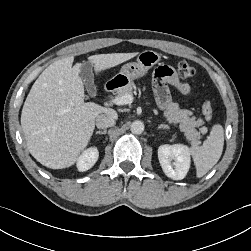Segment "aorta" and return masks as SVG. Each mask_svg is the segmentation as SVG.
<instances>
[{"label":"aorta","instance_id":"762f6f07","mask_svg":"<svg viewBox=\"0 0 251 251\" xmlns=\"http://www.w3.org/2000/svg\"><path fill=\"white\" fill-rule=\"evenodd\" d=\"M144 131V124L142 121L136 120L131 124V132L133 134H141Z\"/></svg>","mask_w":251,"mask_h":251}]
</instances>
